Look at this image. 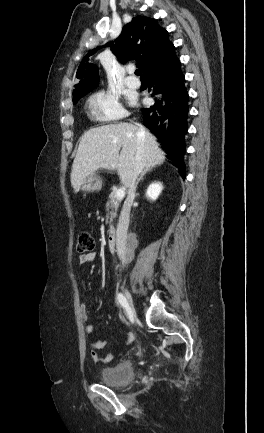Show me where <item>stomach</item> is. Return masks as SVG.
Instances as JSON below:
<instances>
[{"instance_id":"obj_1","label":"stomach","mask_w":264,"mask_h":433,"mask_svg":"<svg viewBox=\"0 0 264 433\" xmlns=\"http://www.w3.org/2000/svg\"><path fill=\"white\" fill-rule=\"evenodd\" d=\"M102 188V180L100 177L92 175L88 176L83 184L81 185V190L83 192H95L100 191Z\"/></svg>"}]
</instances>
